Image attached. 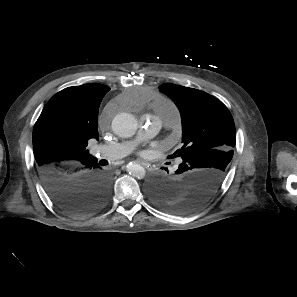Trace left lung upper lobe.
<instances>
[{
  "label": "left lung upper lobe",
  "mask_w": 297,
  "mask_h": 297,
  "mask_svg": "<svg viewBox=\"0 0 297 297\" xmlns=\"http://www.w3.org/2000/svg\"><path fill=\"white\" fill-rule=\"evenodd\" d=\"M159 90L173 100L181 113L183 146L172 158L180 157V165L188 173L210 172L219 176L222 183L236 144L235 124L227 107L197 89L166 83ZM181 198L175 195L167 202H179Z\"/></svg>",
  "instance_id": "left-lung-upper-lobe-1"
}]
</instances>
